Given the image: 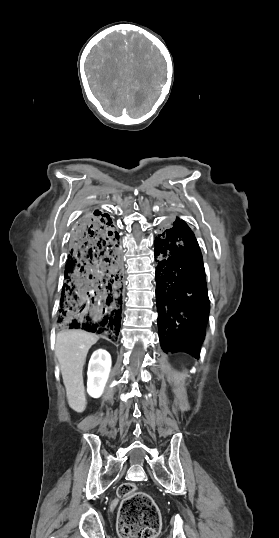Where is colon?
I'll list each match as a JSON object with an SVG mask.
<instances>
[{"mask_svg":"<svg viewBox=\"0 0 279 538\" xmlns=\"http://www.w3.org/2000/svg\"><path fill=\"white\" fill-rule=\"evenodd\" d=\"M122 498L118 533L121 538H155L159 532L160 513L149 495L137 491L132 483L118 488Z\"/></svg>","mask_w":279,"mask_h":538,"instance_id":"1","label":"colon"}]
</instances>
